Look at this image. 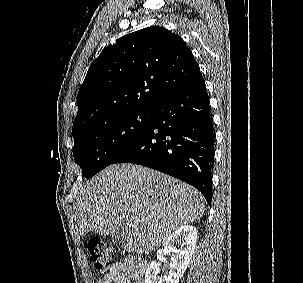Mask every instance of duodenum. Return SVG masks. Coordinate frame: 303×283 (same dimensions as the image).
Instances as JSON below:
<instances>
[{
  "instance_id": "obj_1",
  "label": "duodenum",
  "mask_w": 303,
  "mask_h": 283,
  "mask_svg": "<svg viewBox=\"0 0 303 283\" xmlns=\"http://www.w3.org/2000/svg\"><path fill=\"white\" fill-rule=\"evenodd\" d=\"M137 266L140 270H143L145 272L146 264L142 259L137 260Z\"/></svg>"
}]
</instances>
